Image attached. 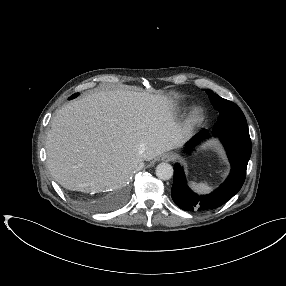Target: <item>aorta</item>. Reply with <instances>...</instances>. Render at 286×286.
Masks as SVG:
<instances>
[{"instance_id": "1", "label": "aorta", "mask_w": 286, "mask_h": 286, "mask_svg": "<svg viewBox=\"0 0 286 286\" xmlns=\"http://www.w3.org/2000/svg\"><path fill=\"white\" fill-rule=\"evenodd\" d=\"M156 176L161 180H169L173 176V167L168 163H160L156 167Z\"/></svg>"}]
</instances>
